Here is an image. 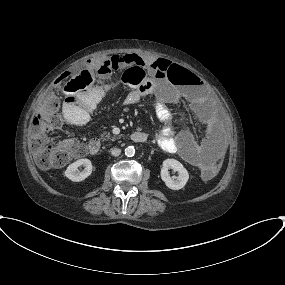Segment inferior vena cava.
Here are the masks:
<instances>
[{
	"instance_id": "obj_1",
	"label": "inferior vena cava",
	"mask_w": 285,
	"mask_h": 285,
	"mask_svg": "<svg viewBox=\"0 0 285 285\" xmlns=\"http://www.w3.org/2000/svg\"><path fill=\"white\" fill-rule=\"evenodd\" d=\"M112 156H119L121 154V150L118 148L111 149Z\"/></svg>"
}]
</instances>
